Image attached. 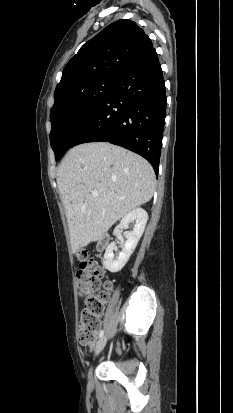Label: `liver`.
I'll return each mask as SVG.
<instances>
[{
	"instance_id": "6515ba94",
	"label": "liver",
	"mask_w": 233,
	"mask_h": 413,
	"mask_svg": "<svg viewBox=\"0 0 233 413\" xmlns=\"http://www.w3.org/2000/svg\"><path fill=\"white\" fill-rule=\"evenodd\" d=\"M57 184L76 253L148 202L156 180L152 166L138 154L108 142H90L68 151L58 167Z\"/></svg>"
}]
</instances>
